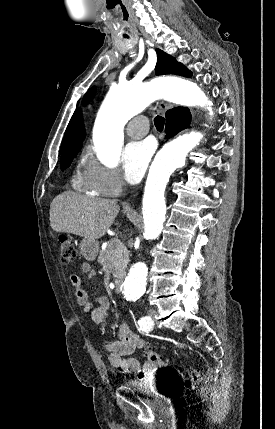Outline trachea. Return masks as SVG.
I'll use <instances>...</instances> for the list:
<instances>
[{
  "label": "trachea",
  "instance_id": "1",
  "mask_svg": "<svg viewBox=\"0 0 275 429\" xmlns=\"http://www.w3.org/2000/svg\"><path fill=\"white\" fill-rule=\"evenodd\" d=\"M164 122H165V120H164V118H163L162 116H156V117L154 118V124H155V127H156V129H157L159 132H162V131H163V128H164Z\"/></svg>",
  "mask_w": 275,
  "mask_h": 429
}]
</instances>
